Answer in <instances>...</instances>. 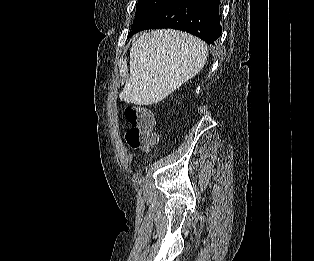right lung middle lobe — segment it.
<instances>
[{"mask_svg":"<svg viewBox=\"0 0 314 261\" xmlns=\"http://www.w3.org/2000/svg\"><path fill=\"white\" fill-rule=\"evenodd\" d=\"M170 1L171 0H138L133 25L143 23Z\"/></svg>","mask_w":314,"mask_h":261,"instance_id":"right-lung-middle-lobe-1","label":"right lung middle lobe"}]
</instances>
